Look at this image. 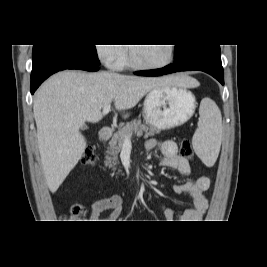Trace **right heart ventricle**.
<instances>
[{
    "label": "right heart ventricle",
    "mask_w": 267,
    "mask_h": 267,
    "mask_svg": "<svg viewBox=\"0 0 267 267\" xmlns=\"http://www.w3.org/2000/svg\"><path fill=\"white\" fill-rule=\"evenodd\" d=\"M127 64H128L127 59H126V57L123 55L122 58H121V60H120V67H121V66H126Z\"/></svg>",
    "instance_id": "1"
}]
</instances>
